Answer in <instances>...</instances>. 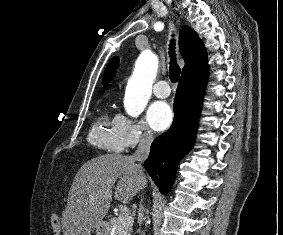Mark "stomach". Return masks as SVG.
<instances>
[{
	"label": "stomach",
	"instance_id": "0dacf381",
	"mask_svg": "<svg viewBox=\"0 0 283 235\" xmlns=\"http://www.w3.org/2000/svg\"><path fill=\"white\" fill-rule=\"evenodd\" d=\"M95 235H110L111 234V226L108 222L102 221L95 227L94 231Z\"/></svg>",
	"mask_w": 283,
	"mask_h": 235
}]
</instances>
